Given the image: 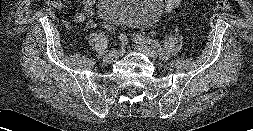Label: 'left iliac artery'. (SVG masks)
<instances>
[{"instance_id": "1", "label": "left iliac artery", "mask_w": 253, "mask_h": 131, "mask_svg": "<svg viewBox=\"0 0 253 131\" xmlns=\"http://www.w3.org/2000/svg\"><path fill=\"white\" fill-rule=\"evenodd\" d=\"M134 37H136L137 39H139L140 41L147 43L149 45H151L153 48H155L159 53H161V55H163L164 53H162V47L159 44V42L155 39L146 37L144 35L141 34H135Z\"/></svg>"}]
</instances>
